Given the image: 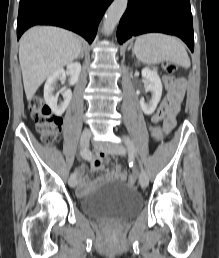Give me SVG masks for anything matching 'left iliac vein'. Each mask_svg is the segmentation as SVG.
Listing matches in <instances>:
<instances>
[{
  "label": "left iliac vein",
  "mask_w": 219,
  "mask_h": 258,
  "mask_svg": "<svg viewBox=\"0 0 219 258\" xmlns=\"http://www.w3.org/2000/svg\"><path fill=\"white\" fill-rule=\"evenodd\" d=\"M95 147L99 148L105 152H108L110 154L124 155L126 153L125 147L118 145V144L102 146V147L95 145ZM139 184L143 188L147 187V185H148V176L142 168L139 171Z\"/></svg>",
  "instance_id": "1"
}]
</instances>
